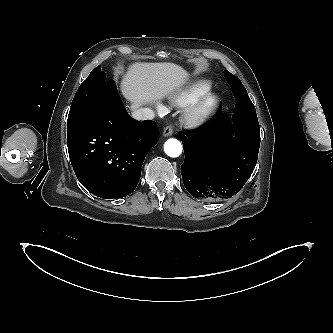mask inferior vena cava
Returning a JSON list of instances; mask_svg holds the SVG:
<instances>
[{"label": "inferior vena cava", "mask_w": 333, "mask_h": 333, "mask_svg": "<svg viewBox=\"0 0 333 333\" xmlns=\"http://www.w3.org/2000/svg\"><path fill=\"white\" fill-rule=\"evenodd\" d=\"M154 115V112L149 108H139L132 112V117L137 120L153 119Z\"/></svg>", "instance_id": "inferior-vena-cava-1"}]
</instances>
